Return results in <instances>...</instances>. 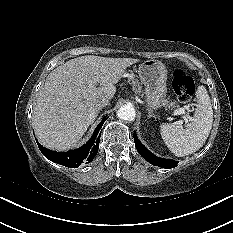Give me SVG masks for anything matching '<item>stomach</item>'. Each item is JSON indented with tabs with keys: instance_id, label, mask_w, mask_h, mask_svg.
<instances>
[{
	"instance_id": "obj_1",
	"label": "stomach",
	"mask_w": 233,
	"mask_h": 233,
	"mask_svg": "<svg viewBox=\"0 0 233 233\" xmlns=\"http://www.w3.org/2000/svg\"><path fill=\"white\" fill-rule=\"evenodd\" d=\"M139 77L145 86V102L149 111L164 106L167 93V69L158 60H146L139 66Z\"/></svg>"
}]
</instances>
